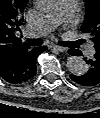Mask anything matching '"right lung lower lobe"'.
<instances>
[{
	"instance_id": "1",
	"label": "right lung lower lobe",
	"mask_w": 100,
	"mask_h": 118,
	"mask_svg": "<svg viewBox=\"0 0 100 118\" xmlns=\"http://www.w3.org/2000/svg\"><path fill=\"white\" fill-rule=\"evenodd\" d=\"M46 49L39 46L21 50L16 58L0 64V77L12 84L28 81L36 74V58Z\"/></svg>"
}]
</instances>
